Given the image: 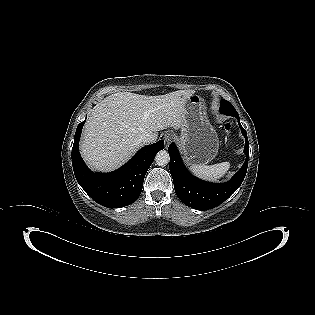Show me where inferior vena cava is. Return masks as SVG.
<instances>
[{"mask_svg":"<svg viewBox=\"0 0 315 315\" xmlns=\"http://www.w3.org/2000/svg\"><path fill=\"white\" fill-rule=\"evenodd\" d=\"M156 139H157V136L155 134H146L140 138V142L143 144H150V143H154Z\"/></svg>","mask_w":315,"mask_h":315,"instance_id":"1","label":"inferior vena cava"}]
</instances>
